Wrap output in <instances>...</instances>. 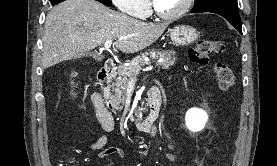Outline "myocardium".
Returning a JSON list of instances; mask_svg holds the SVG:
<instances>
[{
  "instance_id": "f54148a6",
  "label": "myocardium",
  "mask_w": 277,
  "mask_h": 166,
  "mask_svg": "<svg viewBox=\"0 0 277 166\" xmlns=\"http://www.w3.org/2000/svg\"><path fill=\"white\" fill-rule=\"evenodd\" d=\"M192 2H193V0H185L182 7L179 10H177L174 13H170V14L163 13L162 11H160L158 9V7L156 6L154 0L151 1V8H152L153 13L158 18L171 21V20H176V19L182 17L190 9Z\"/></svg>"
}]
</instances>
